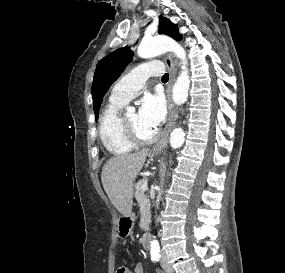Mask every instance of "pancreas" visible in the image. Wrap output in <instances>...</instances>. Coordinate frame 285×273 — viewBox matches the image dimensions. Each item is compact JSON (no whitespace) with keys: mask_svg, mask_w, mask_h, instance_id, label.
I'll return each instance as SVG.
<instances>
[{"mask_svg":"<svg viewBox=\"0 0 285 273\" xmlns=\"http://www.w3.org/2000/svg\"><path fill=\"white\" fill-rule=\"evenodd\" d=\"M145 183V180H140L135 184V198L140 204L145 205V212L149 214L150 209V200L144 194V190H142V185Z\"/></svg>","mask_w":285,"mask_h":273,"instance_id":"obj_1","label":"pancreas"}]
</instances>
